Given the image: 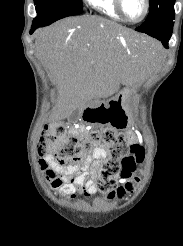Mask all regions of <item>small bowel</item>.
<instances>
[{"label": "small bowel", "instance_id": "c3829d8e", "mask_svg": "<svg viewBox=\"0 0 183 246\" xmlns=\"http://www.w3.org/2000/svg\"><path fill=\"white\" fill-rule=\"evenodd\" d=\"M78 131L83 133L85 127H80ZM128 141L130 144H136V135L129 132ZM106 156L107 150L103 145L94 148L91 163L82 169L62 165L52 155L46 156L45 160L49 165L46 177L53 189L70 199H74L77 193L87 197L91 196L96 192L95 181L98 177L100 163Z\"/></svg>", "mask_w": 183, "mask_h": 246}]
</instances>
